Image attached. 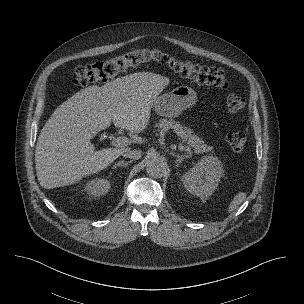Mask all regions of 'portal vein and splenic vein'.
Instances as JSON below:
<instances>
[{
	"instance_id": "1",
	"label": "portal vein and splenic vein",
	"mask_w": 304,
	"mask_h": 304,
	"mask_svg": "<svg viewBox=\"0 0 304 304\" xmlns=\"http://www.w3.org/2000/svg\"><path fill=\"white\" fill-rule=\"evenodd\" d=\"M112 144L117 147H124L129 144V139L126 136H120L117 138H114L112 141ZM180 150H185L188 153H191V148L186 145H180L179 146Z\"/></svg>"
}]
</instances>
